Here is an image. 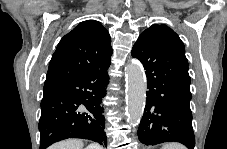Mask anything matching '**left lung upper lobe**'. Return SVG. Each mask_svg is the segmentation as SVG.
<instances>
[{
    "mask_svg": "<svg viewBox=\"0 0 227 149\" xmlns=\"http://www.w3.org/2000/svg\"><path fill=\"white\" fill-rule=\"evenodd\" d=\"M157 29H159L162 34L166 37L170 45L179 53L182 55L184 60L188 63L187 58L185 56V48L184 44L179 38V36L169 27L166 25H153Z\"/></svg>",
    "mask_w": 227,
    "mask_h": 149,
    "instance_id": "left-lung-upper-lobe-1",
    "label": "left lung upper lobe"
}]
</instances>
